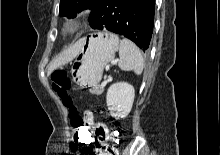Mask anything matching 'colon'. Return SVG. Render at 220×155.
<instances>
[{
	"mask_svg": "<svg viewBox=\"0 0 220 155\" xmlns=\"http://www.w3.org/2000/svg\"><path fill=\"white\" fill-rule=\"evenodd\" d=\"M51 82L53 90L62 99L63 104L68 108V114L72 129L74 130V144L84 147L85 144H93V147L86 150V155H117V145H120L122 133H109L105 124L101 123L97 130L95 139L89 123H85V119L78 113L74 106L72 98L68 95V91L72 86L71 78L64 69H57L51 74Z\"/></svg>",
	"mask_w": 220,
	"mask_h": 155,
	"instance_id": "5ec220e1",
	"label": "colon"
}]
</instances>
